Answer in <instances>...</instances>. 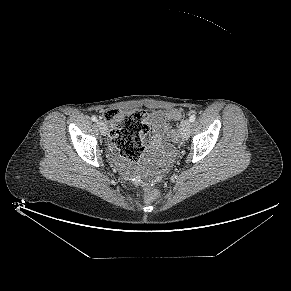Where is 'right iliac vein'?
<instances>
[{"instance_id": "1", "label": "right iliac vein", "mask_w": 291, "mask_h": 291, "mask_svg": "<svg viewBox=\"0 0 291 291\" xmlns=\"http://www.w3.org/2000/svg\"><path fill=\"white\" fill-rule=\"evenodd\" d=\"M97 126L99 127L101 134L103 136H106L107 135V126H106V124L103 121H98L97 122Z\"/></svg>"}]
</instances>
